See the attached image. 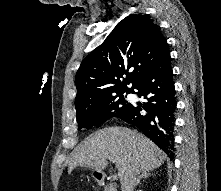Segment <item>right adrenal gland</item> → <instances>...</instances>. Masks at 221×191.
Wrapping results in <instances>:
<instances>
[{
    "label": "right adrenal gland",
    "mask_w": 221,
    "mask_h": 191,
    "mask_svg": "<svg viewBox=\"0 0 221 191\" xmlns=\"http://www.w3.org/2000/svg\"><path fill=\"white\" fill-rule=\"evenodd\" d=\"M152 175H153V174L150 173V172H145V173H142L140 176H138V177L136 178V180H135V183H134V186H133L132 191L134 190V188H135L136 186H138V185L140 184V180H141V179H146V178H148V177H150V176H152Z\"/></svg>",
    "instance_id": "obj_1"
}]
</instances>
